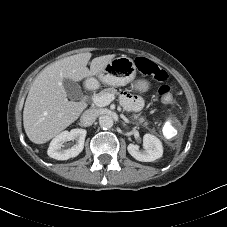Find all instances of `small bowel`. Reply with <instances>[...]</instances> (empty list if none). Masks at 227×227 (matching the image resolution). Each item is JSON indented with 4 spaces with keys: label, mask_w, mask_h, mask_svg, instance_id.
I'll use <instances>...</instances> for the list:
<instances>
[{
    "label": "small bowel",
    "mask_w": 227,
    "mask_h": 227,
    "mask_svg": "<svg viewBox=\"0 0 227 227\" xmlns=\"http://www.w3.org/2000/svg\"><path fill=\"white\" fill-rule=\"evenodd\" d=\"M121 102L127 109L132 111L138 110L141 106V101L137 97L127 93L122 94Z\"/></svg>",
    "instance_id": "c3829d8e"
}]
</instances>
